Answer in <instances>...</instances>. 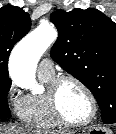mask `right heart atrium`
Segmentation results:
<instances>
[{"instance_id": "right-heart-atrium-1", "label": "right heart atrium", "mask_w": 116, "mask_h": 134, "mask_svg": "<svg viewBox=\"0 0 116 134\" xmlns=\"http://www.w3.org/2000/svg\"><path fill=\"white\" fill-rule=\"evenodd\" d=\"M7 98L14 110L20 112L25 103L26 96H23L13 83H11L8 87Z\"/></svg>"}]
</instances>
